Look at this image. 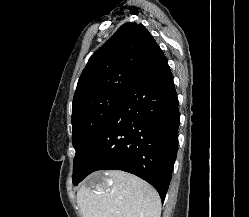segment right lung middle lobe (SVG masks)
<instances>
[{
  "mask_svg": "<svg viewBox=\"0 0 249 217\" xmlns=\"http://www.w3.org/2000/svg\"><path fill=\"white\" fill-rule=\"evenodd\" d=\"M125 94L106 93L87 100L72 111V143L76 151L73 165V184L80 177L79 165L90 144L107 123Z\"/></svg>",
  "mask_w": 249,
  "mask_h": 217,
  "instance_id": "right-lung-middle-lobe-1",
  "label": "right lung middle lobe"
}]
</instances>
